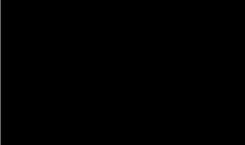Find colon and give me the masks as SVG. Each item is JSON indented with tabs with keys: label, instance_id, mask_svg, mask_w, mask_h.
<instances>
[{
	"label": "colon",
	"instance_id": "1",
	"mask_svg": "<svg viewBox=\"0 0 245 145\" xmlns=\"http://www.w3.org/2000/svg\"><path fill=\"white\" fill-rule=\"evenodd\" d=\"M193 39L197 41V44L194 46V53L200 55L202 60L197 70L193 71L191 74V77L201 88L204 89L211 83L214 71V55L209 50L206 39L200 38L196 33H193Z\"/></svg>",
	"mask_w": 245,
	"mask_h": 145
}]
</instances>
